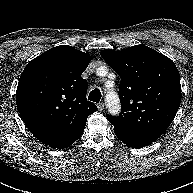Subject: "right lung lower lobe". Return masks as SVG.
<instances>
[{
	"label": "right lung lower lobe",
	"mask_w": 193,
	"mask_h": 193,
	"mask_svg": "<svg viewBox=\"0 0 193 193\" xmlns=\"http://www.w3.org/2000/svg\"><path fill=\"white\" fill-rule=\"evenodd\" d=\"M83 131L70 136L69 138L63 139V140H56L52 141L51 143L48 144V146L53 147V148H64L75 142L81 135Z\"/></svg>",
	"instance_id": "98d812e1"
}]
</instances>
